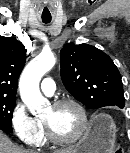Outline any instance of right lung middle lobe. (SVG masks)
Segmentation results:
<instances>
[{"mask_svg": "<svg viewBox=\"0 0 130 153\" xmlns=\"http://www.w3.org/2000/svg\"><path fill=\"white\" fill-rule=\"evenodd\" d=\"M16 98L0 96V129L12 132V115Z\"/></svg>", "mask_w": 130, "mask_h": 153, "instance_id": "obj_1", "label": "right lung middle lobe"}]
</instances>
